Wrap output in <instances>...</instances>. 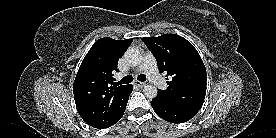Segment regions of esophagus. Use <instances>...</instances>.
I'll return each mask as SVG.
<instances>
[{
	"mask_svg": "<svg viewBox=\"0 0 276 138\" xmlns=\"http://www.w3.org/2000/svg\"><path fill=\"white\" fill-rule=\"evenodd\" d=\"M135 84H136L137 86H139V87H144V86L147 85L146 82H139V81H135Z\"/></svg>",
	"mask_w": 276,
	"mask_h": 138,
	"instance_id": "obj_1",
	"label": "esophagus"
}]
</instances>
